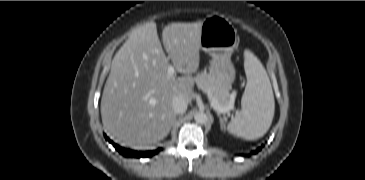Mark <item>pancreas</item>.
<instances>
[{
	"label": "pancreas",
	"mask_w": 365,
	"mask_h": 180,
	"mask_svg": "<svg viewBox=\"0 0 365 180\" xmlns=\"http://www.w3.org/2000/svg\"><path fill=\"white\" fill-rule=\"evenodd\" d=\"M195 82L199 89L206 93L211 99L217 100L222 107L233 106V102L229 100V87L210 76L205 71L196 75Z\"/></svg>",
	"instance_id": "pancreas-1"
}]
</instances>
